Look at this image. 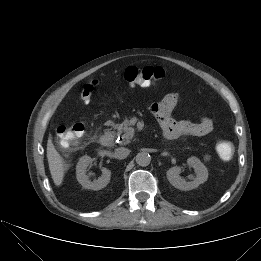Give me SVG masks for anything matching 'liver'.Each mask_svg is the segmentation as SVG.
Segmentation results:
<instances>
[{
  "label": "liver",
  "instance_id": "1",
  "mask_svg": "<svg viewBox=\"0 0 261 261\" xmlns=\"http://www.w3.org/2000/svg\"><path fill=\"white\" fill-rule=\"evenodd\" d=\"M47 159L54 184L60 186L65 174L64 160L55 149L51 138H49L47 142Z\"/></svg>",
  "mask_w": 261,
  "mask_h": 261
}]
</instances>
